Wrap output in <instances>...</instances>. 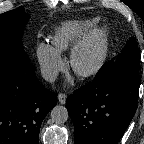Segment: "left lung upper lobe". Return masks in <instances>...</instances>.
<instances>
[{
	"instance_id": "left-lung-upper-lobe-1",
	"label": "left lung upper lobe",
	"mask_w": 144,
	"mask_h": 144,
	"mask_svg": "<svg viewBox=\"0 0 144 144\" xmlns=\"http://www.w3.org/2000/svg\"><path fill=\"white\" fill-rule=\"evenodd\" d=\"M140 52L134 37H131L115 62L105 65L101 70L106 79L118 75H139Z\"/></svg>"
}]
</instances>
